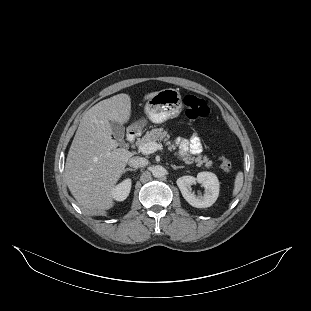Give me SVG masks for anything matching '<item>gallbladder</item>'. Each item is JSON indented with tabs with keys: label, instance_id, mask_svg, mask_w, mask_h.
<instances>
[{
	"label": "gallbladder",
	"instance_id": "gallbladder-1",
	"mask_svg": "<svg viewBox=\"0 0 311 311\" xmlns=\"http://www.w3.org/2000/svg\"><path fill=\"white\" fill-rule=\"evenodd\" d=\"M112 129H113V136L115 140L118 142V145L120 147L126 146V142L124 141L125 128L117 124H112Z\"/></svg>",
	"mask_w": 311,
	"mask_h": 311
}]
</instances>
